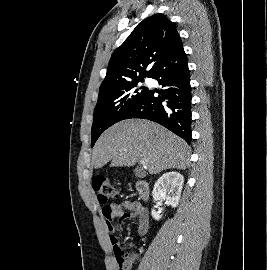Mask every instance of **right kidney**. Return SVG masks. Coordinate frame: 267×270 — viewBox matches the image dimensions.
Masks as SVG:
<instances>
[{
    "label": "right kidney",
    "instance_id": "obj_1",
    "mask_svg": "<svg viewBox=\"0 0 267 270\" xmlns=\"http://www.w3.org/2000/svg\"><path fill=\"white\" fill-rule=\"evenodd\" d=\"M184 177L178 172H167L163 174L155 183L152 196L156 206L151 211V215L155 220L161 219V211H156L155 208L166 201L173 207H177L183 188Z\"/></svg>",
    "mask_w": 267,
    "mask_h": 270
}]
</instances>
